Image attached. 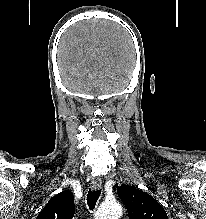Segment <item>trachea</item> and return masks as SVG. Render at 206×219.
Wrapping results in <instances>:
<instances>
[{
  "label": "trachea",
  "instance_id": "trachea-1",
  "mask_svg": "<svg viewBox=\"0 0 206 219\" xmlns=\"http://www.w3.org/2000/svg\"><path fill=\"white\" fill-rule=\"evenodd\" d=\"M101 190H91L89 189L87 194V204L90 210H93L96 206V203L100 197Z\"/></svg>",
  "mask_w": 206,
  "mask_h": 219
}]
</instances>
